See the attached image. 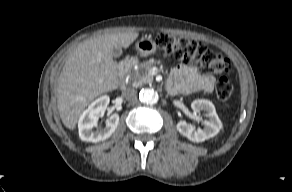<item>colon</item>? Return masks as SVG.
<instances>
[{
	"label": "colon",
	"instance_id": "5ec220e1",
	"mask_svg": "<svg viewBox=\"0 0 292 192\" xmlns=\"http://www.w3.org/2000/svg\"><path fill=\"white\" fill-rule=\"evenodd\" d=\"M156 45L167 55L174 57L184 65H195L203 75L222 74L231 70L229 59L218 51L207 48L201 42L186 37L160 33ZM233 92V84L226 77H220L215 85L216 97L227 100Z\"/></svg>",
	"mask_w": 292,
	"mask_h": 192
}]
</instances>
